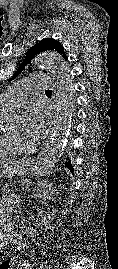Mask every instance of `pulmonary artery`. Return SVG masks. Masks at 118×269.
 Listing matches in <instances>:
<instances>
[{"label": "pulmonary artery", "mask_w": 118, "mask_h": 269, "mask_svg": "<svg viewBox=\"0 0 118 269\" xmlns=\"http://www.w3.org/2000/svg\"><path fill=\"white\" fill-rule=\"evenodd\" d=\"M52 87V81L45 75L21 79L0 95V108L12 111L31 89L43 90Z\"/></svg>", "instance_id": "pulmonary-artery-1"}]
</instances>
